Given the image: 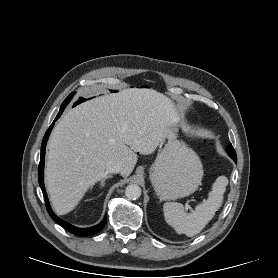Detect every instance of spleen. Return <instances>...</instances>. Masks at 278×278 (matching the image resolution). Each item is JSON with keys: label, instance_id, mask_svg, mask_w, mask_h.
Segmentation results:
<instances>
[{"label": "spleen", "instance_id": "obj_1", "mask_svg": "<svg viewBox=\"0 0 278 278\" xmlns=\"http://www.w3.org/2000/svg\"><path fill=\"white\" fill-rule=\"evenodd\" d=\"M227 183L228 179L225 176L218 177L212 186V191L209 192L208 199L197 205L191 213H186L180 203H165L163 210L166 222L178 234L192 237L200 233L221 207Z\"/></svg>", "mask_w": 278, "mask_h": 278}]
</instances>
